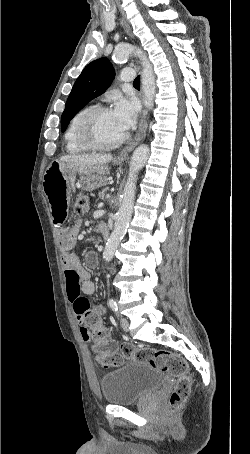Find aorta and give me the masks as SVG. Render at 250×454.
<instances>
[{"instance_id": "762f6f07", "label": "aorta", "mask_w": 250, "mask_h": 454, "mask_svg": "<svg viewBox=\"0 0 250 454\" xmlns=\"http://www.w3.org/2000/svg\"><path fill=\"white\" fill-rule=\"evenodd\" d=\"M139 57L143 70L141 74V83L143 89V103L146 108L152 109L154 106V97L156 92V80L153 67L147 59L145 53L130 43L120 44L114 51L113 58L116 62L126 60L130 55ZM150 155L147 145L137 147L131 157L129 164L128 178L122 193V203L116 214L114 229L106 243L103 259L110 262L114 253L124 237L133 212L134 198L136 192V181L138 172L144 167Z\"/></svg>"}]
</instances>
